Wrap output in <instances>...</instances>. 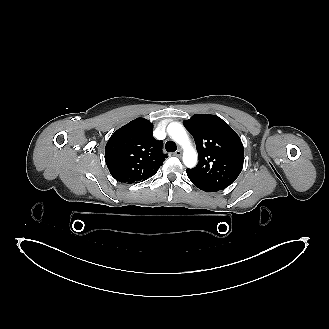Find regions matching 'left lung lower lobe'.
I'll list each match as a JSON object with an SVG mask.
<instances>
[{
  "label": "left lung lower lobe",
  "instance_id": "obj_1",
  "mask_svg": "<svg viewBox=\"0 0 329 329\" xmlns=\"http://www.w3.org/2000/svg\"><path fill=\"white\" fill-rule=\"evenodd\" d=\"M187 175H188V173H187ZM188 178L191 180V182H192L194 185H196L199 189H201V190H203V191H206V192H216V191H219V190H215V189H213V188H211V187H208V186H206V185H204V184H202V183H200V182L194 180V179L191 178L189 175H188Z\"/></svg>",
  "mask_w": 329,
  "mask_h": 329
}]
</instances>
